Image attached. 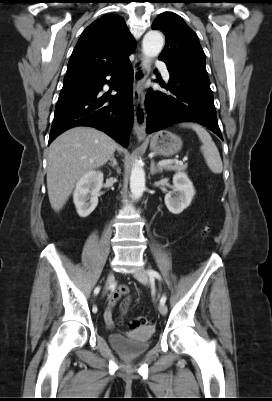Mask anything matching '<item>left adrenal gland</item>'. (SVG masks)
Masks as SVG:
<instances>
[{"mask_svg": "<svg viewBox=\"0 0 272 401\" xmlns=\"http://www.w3.org/2000/svg\"><path fill=\"white\" fill-rule=\"evenodd\" d=\"M157 173H162V168L157 167V166L155 165L154 160H151L150 174H151V175H154V174H157Z\"/></svg>", "mask_w": 272, "mask_h": 401, "instance_id": "obj_1", "label": "left adrenal gland"}]
</instances>
